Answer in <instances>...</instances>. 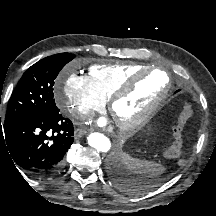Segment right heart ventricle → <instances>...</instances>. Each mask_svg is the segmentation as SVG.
I'll use <instances>...</instances> for the list:
<instances>
[{"instance_id": "obj_1", "label": "right heart ventricle", "mask_w": 216, "mask_h": 216, "mask_svg": "<svg viewBox=\"0 0 216 216\" xmlns=\"http://www.w3.org/2000/svg\"><path fill=\"white\" fill-rule=\"evenodd\" d=\"M144 69L136 63L95 64L89 68V78L96 91L108 100L129 77Z\"/></svg>"}]
</instances>
